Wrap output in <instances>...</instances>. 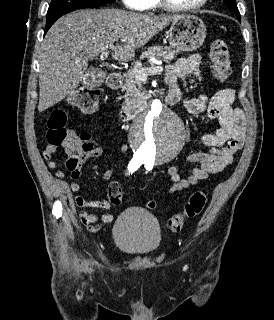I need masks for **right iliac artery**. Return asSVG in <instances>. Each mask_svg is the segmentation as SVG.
Wrapping results in <instances>:
<instances>
[{"label": "right iliac artery", "instance_id": "right-iliac-artery-1", "mask_svg": "<svg viewBox=\"0 0 274 320\" xmlns=\"http://www.w3.org/2000/svg\"><path fill=\"white\" fill-rule=\"evenodd\" d=\"M142 163L143 161L141 159L133 158L128 165L129 171H136L142 165Z\"/></svg>", "mask_w": 274, "mask_h": 320}]
</instances>
